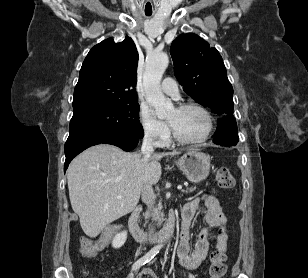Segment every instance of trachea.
Segmentation results:
<instances>
[{
	"label": "trachea",
	"mask_w": 308,
	"mask_h": 278,
	"mask_svg": "<svg viewBox=\"0 0 308 278\" xmlns=\"http://www.w3.org/2000/svg\"><path fill=\"white\" fill-rule=\"evenodd\" d=\"M151 15V13H146V16H150Z\"/></svg>",
	"instance_id": "3493384b"
}]
</instances>
